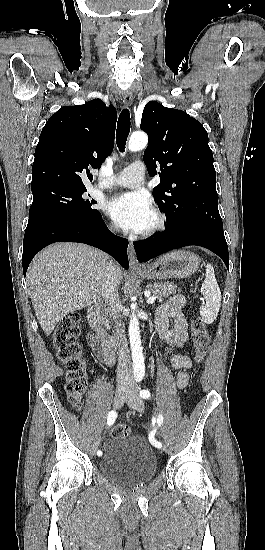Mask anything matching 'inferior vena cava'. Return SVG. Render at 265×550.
<instances>
[{"label": "inferior vena cava", "mask_w": 265, "mask_h": 550, "mask_svg": "<svg viewBox=\"0 0 265 550\" xmlns=\"http://www.w3.org/2000/svg\"><path fill=\"white\" fill-rule=\"evenodd\" d=\"M102 296L105 301V310H107L109 318L114 322L118 355L117 382L129 384L133 379L132 362L125 337L124 326L120 320L118 277L116 267L112 260L107 266L106 280L103 286Z\"/></svg>", "instance_id": "inferior-vena-cava-1"}]
</instances>
